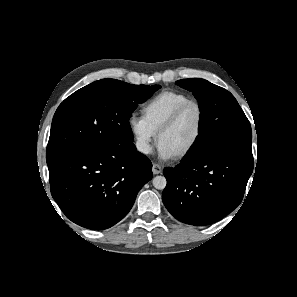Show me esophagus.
Here are the masks:
<instances>
[{"mask_svg":"<svg viewBox=\"0 0 297 297\" xmlns=\"http://www.w3.org/2000/svg\"><path fill=\"white\" fill-rule=\"evenodd\" d=\"M152 172L153 174H159L162 172V167L159 164H153Z\"/></svg>","mask_w":297,"mask_h":297,"instance_id":"obj_1","label":"esophagus"}]
</instances>
